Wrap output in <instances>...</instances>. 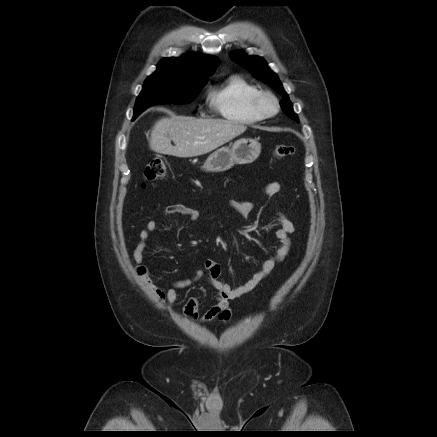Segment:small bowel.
Listing matches in <instances>:
<instances>
[{"mask_svg":"<svg viewBox=\"0 0 437 437\" xmlns=\"http://www.w3.org/2000/svg\"><path fill=\"white\" fill-rule=\"evenodd\" d=\"M280 189L281 186L278 182H271L263 187L262 193L266 196H274L280 192ZM229 206L241 216L247 218L251 214L254 204L249 199H243L238 201L232 200L229 202ZM174 214L183 215L192 221L199 218V213L196 209L184 204L169 205L162 211V216L164 217H169ZM276 216L279 222V227L276 229L275 235L280 246L275 254L268 257L263 262L261 268L245 284L235 288L231 287L229 284L221 280V269L219 263L214 260H206L204 263V270H198L192 278L175 281L172 287L167 290L151 285L150 289L152 293L160 300L165 301L170 309L177 300L178 289L187 288L194 282L200 279H205L217 290L216 302L200 315L199 301L197 298L191 297L183 306L184 314L191 319L199 320L201 322H209L214 319H218L222 322L229 320L232 315L230 302L253 291L289 253L291 246L289 236L295 231L294 223L282 212H278ZM157 227V220L151 219L141 230L139 234V242L134 250V257L137 263L142 262L147 240Z\"/></svg>","mask_w":437,"mask_h":437,"instance_id":"1","label":"small bowel"}]
</instances>
